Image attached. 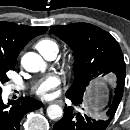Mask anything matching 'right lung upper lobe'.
<instances>
[{"instance_id": "right-lung-upper-lobe-1", "label": "right lung upper lobe", "mask_w": 130, "mask_h": 130, "mask_svg": "<svg viewBox=\"0 0 130 130\" xmlns=\"http://www.w3.org/2000/svg\"><path fill=\"white\" fill-rule=\"evenodd\" d=\"M47 27H30L0 21V57L10 62L16 59L23 47L35 36L44 33Z\"/></svg>"}]
</instances>
